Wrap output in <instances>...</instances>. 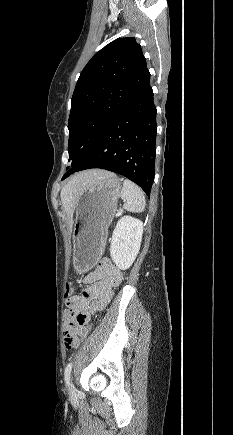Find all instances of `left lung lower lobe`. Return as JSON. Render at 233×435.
I'll return each mask as SVG.
<instances>
[{
    "label": "left lung lower lobe",
    "instance_id": "obj_1",
    "mask_svg": "<svg viewBox=\"0 0 233 435\" xmlns=\"http://www.w3.org/2000/svg\"><path fill=\"white\" fill-rule=\"evenodd\" d=\"M156 108L150 84L130 107L115 119L74 172L101 168L121 174L149 196L154 180Z\"/></svg>",
    "mask_w": 233,
    "mask_h": 435
}]
</instances>
